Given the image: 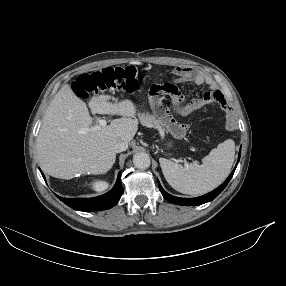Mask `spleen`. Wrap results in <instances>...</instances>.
I'll return each instance as SVG.
<instances>
[{
    "label": "spleen",
    "mask_w": 286,
    "mask_h": 286,
    "mask_svg": "<svg viewBox=\"0 0 286 286\" xmlns=\"http://www.w3.org/2000/svg\"><path fill=\"white\" fill-rule=\"evenodd\" d=\"M235 156V143L228 139L212 149L202 164L193 162L182 166L160 158L163 175L175 190L190 195L205 194L219 186L229 175Z\"/></svg>",
    "instance_id": "spleen-1"
}]
</instances>
